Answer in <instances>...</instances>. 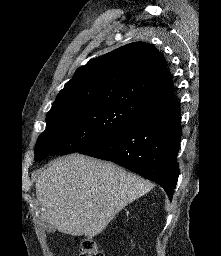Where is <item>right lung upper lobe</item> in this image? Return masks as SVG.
<instances>
[{
  "label": "right lung upper lobe",
  "instance_id": "cb5924a9",
  "mask_svg": "<svg viewBox=\"0 0 221 256\" xmlns=\"http://www.w3.org/2000/svg\"><path fill=\"white\" fill-rule=\"evenodd\" d=\"M99 104L120 106L141 119L177 108L164 57L152 45L135 42L91 59L65 84L49 113Z\"/></svg>",
  "mask_w": 221,
  "mask_h": 256
}]
</instances>
